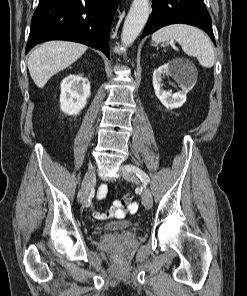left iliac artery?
Listing matches in <instances>:
<instances>
[{"label": "left iliac artery", "instance_id": "44dca946", "mask_svg": "<svg viewBox=\"0 0 247 296\" xmlns=\"http://www.w3.org/2000/svg\"><path fill=\"white\" fill-rule=\"evenodd\" d=\"M126 168H127V170L134 172L140 178V180L142 182H144L146 184L149 183V181H150L149 176L141 169H139L133 165H127Z\"/></svg>", "mask_w": 247, "mask_h": 296}]
</instances>
